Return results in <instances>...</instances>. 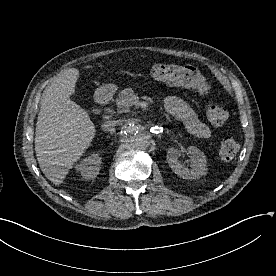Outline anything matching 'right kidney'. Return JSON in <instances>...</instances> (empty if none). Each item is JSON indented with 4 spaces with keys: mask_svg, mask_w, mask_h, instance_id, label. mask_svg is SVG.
Instances as JSON below:
<instances>
[{
    "mask_svg": "<svg viewBox=\"0 0 276 276\" xmlns=\"http://www.w3.org/2000/svg\"><path fill=\"white\" fill-rule=\"evenodd\" d=\"M100 165L101 157L98 154H92L91 156L83 159L75 166V168L83 178L94 179L99 174Z\"/></svg>",
    "mask_w": 276,
    "mask_h": 276,
    "instance_id": "1",
    "label": "right kidney"
}]
</instances>
